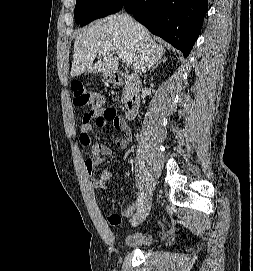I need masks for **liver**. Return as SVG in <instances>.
<instances>
[{
  "label": "liver",
  "mask_w": 253,
  "mask_h": 271,
  "mask_svg": "<svg viewBox=\"0 0 253 271\" xmlns=\"http://www.w3.org/2000/svg\"><path fill=\"white\" fill-rule=\"evenodd\" d=\"M102 50L105 54H100ZM116 51L129 55L135 74L151 69L165 55V49L152 39L144 26L127 15H110L77 33L71 76L78 77L85 71L103 74L115 72L119 66ZM98 53L102 59L94 64Z\"/></svg>",
  "instance_id": "liver-1"
}]
</instances>
